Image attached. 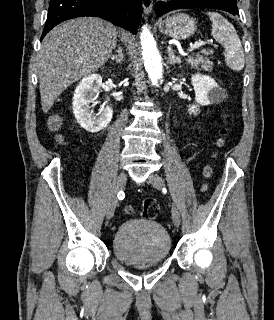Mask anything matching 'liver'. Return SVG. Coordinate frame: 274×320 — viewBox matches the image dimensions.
I'll return each mask as SVG.
<instances>
[{
  "label": "liver",
  "mask_w": 274,
  "mask_h": 320,
  "mask_svg": "<svg viewBox=\"0 0 274 320\" xmlns=\"http://www.w3.org/2000/svg\"><path fill=\"white\" fill-rule=\"evenodd\" d=\"M116 40V28L101 18H75L45 36L37 58L44 114L68 86L103 68Z\"/></svg>",
  "instance_id": "liver-1"
}]
</instances>
